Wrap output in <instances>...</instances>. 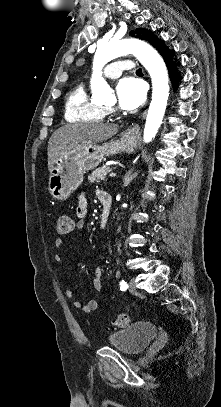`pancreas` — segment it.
I'll return each instance as SVG.
<instances>
[{
  "mask_svg": "<svg viewBox=\"0 0 221 407\" xmlns=\"http://www.w3.org/2000/svg\"><path fill=\"white\" fill-rule=\"evenodd\" d=\"M111 171L112 168L106 166L97 168L88 176V181L91 183L105 181L106 175Z\"/></svg>",
  "mask_w": 221,
  "mask_h": 407,
  "instance_id": "1",
  "label": "pancreas"
}]
</instances>
